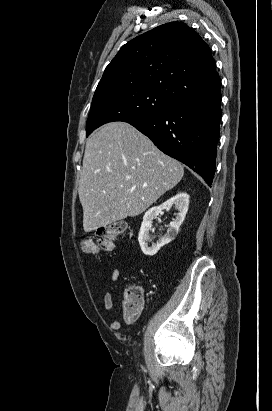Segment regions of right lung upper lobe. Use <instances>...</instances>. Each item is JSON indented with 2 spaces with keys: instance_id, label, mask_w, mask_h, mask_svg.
<instances>
[{
  "instance_id": "obj_1",
  "label": "right lung upper lobe",
  "mask_w": 272,
  "mask_h": 411,
  "mask_svg": "<svg viewBox=\"0 0 272 411\" xmlns=\"http://www.w3.org/2000/svg\"><path fill=\"white\" fill-rule=\"evenodd\" d=\"M221 84L207 43L181 22L158 26L129 41L106 67L95 94L152 88L177 101Z\"/></svg>"
}]
</instances>
